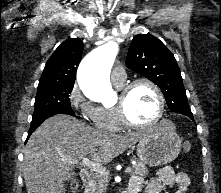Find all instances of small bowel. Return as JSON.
<instances>
[{"instance_id":"c3829d8e","label":"small bowel","mask_w":221,"mask_h":193,"mask_svg":"<svg viewBox=\"0 0 221 193\" xmlns=\"http://www.w3.org/2000/svg\"><path fill=\"white\" fill-rule=\"evenodd\" d=\"M176 185L174 193H186L190 185V178L184 172H175L171 167L159 168L154 178L145 184L143 177L135 176L130 180L129 188L138 193L142 188V193H163L167 187Z\"/></svg>"}]
</instances>
